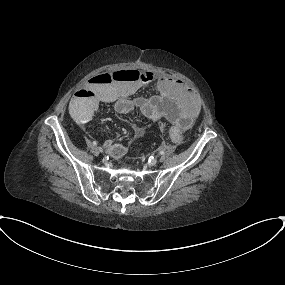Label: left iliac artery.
I'll return each mask as SVG.
<instances>
[{
	"label": "left iliac artery",
	"mask_w": 285,
	"mask_h": 285,
	"mask_svg": "<svg viewBox=\"0 0 285 285\" xmlns=\"http://www.w3.org/2000/svg\"><path fill=\"white\" fill-rule=\"evenodd\" d=\"M164 152L163 151H160V154L162 155Z\"/></svg>",
	"instance_id": "1"
}]
</instances>
